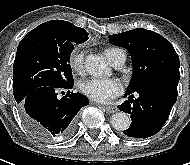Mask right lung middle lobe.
Masks as SVG:
<instances>
[{
    "label": "right lung middle lobe",
    "mask_w": 190,
    "mask_h": 165,
    "mask_svg": "<svg viewBox=\"0 0 190 165\" xmlns=\"http://www.w3.org/2000/svg\"><path fill=\"white\" fill-rule=\"evenodd\" d=\"M88 40L85 29L68 31L63 25L45 22L19 43L13 65V94L17 103L43 86L73 84L70 55L74 46Z\"/></svg>",
    "instance_id": "right-lung-middle-lobe-1"
}]
</instances>
